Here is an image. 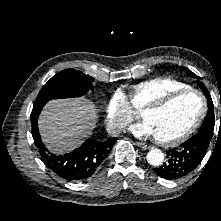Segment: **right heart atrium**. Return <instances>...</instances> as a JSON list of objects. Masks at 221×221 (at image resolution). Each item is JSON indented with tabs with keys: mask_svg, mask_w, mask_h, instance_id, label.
<instances>
[{
	"mask_svg": "<svg viewBox=\"0 0 221 221\" xmlns=\"http://www.w3.org/2000/svg\"><path fill=\"white\" fill-rule=\"evenodd\" d=\"M136 117L126 95L121 90H116L105 108L107 129L113 134H118Z\"/></svg>",
	"mask_w": 221,
	"mask_h": 221,
	"instance_id": "obj_1",
	"label": "right heart atrium"
}]
</instances>
